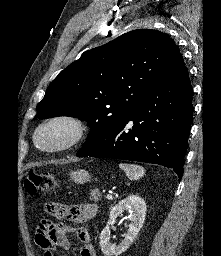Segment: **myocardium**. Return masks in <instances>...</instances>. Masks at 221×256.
Wrapping results in <instances>:
<instances>
[{"instance_id": "myocardium-1", "label": "myocardium", "mask_w": 221, "mask_h": 256, "mask_svg": "<svg viewBox=\"0 0 221 256\" xmlns=\"http://www.w3.org/2000/svg\"><path fill=\"white\" fill-rule=\"evenodd\" d=\"M62 125L69 130L68 137L59 144L53 146L43 145L39 141L40 133L51 126ZM88 124L80 116L72 113H59L43 120L35 129L33 141L35 145L46 152H61L78 145L88 134Z\"/></svg>"}]
</instances>
